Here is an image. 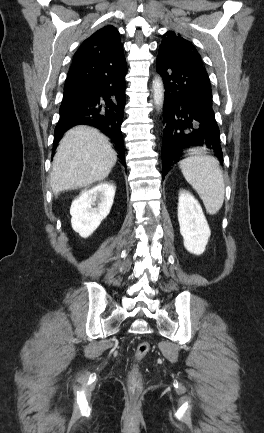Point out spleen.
I'll list each match as a JSON object with an SVG mask.
<instances>
[{"mask_svg":"<svg viewBox=\"0 0 264 433\" xmlns=\"http://www.w3.org/2000/svg\"><path fill=\"white\" fill-rule=\"evenodd\" d=\"M186 181L197 191L206 211L213 215L222 207L225 195L223 172L216 158L202 148L192 149L179 163Z\"/></svg>","mask_w":264,"mask_h":433,"instance_id":"3e777b00","label":"spleen"}]
</instances>
